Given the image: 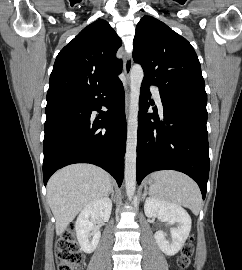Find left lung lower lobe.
<instances>
[{"label":"left lung lower lobe","mask_w":242,"mask_h":270,"mask_svg":"<svg viewBox=\"0 0 242 270\" xmlns=\"http://www.w3.org/2000/svg\"><path fill=\"white\" fill-rule=\"evenodd\" d=\"M149 85L154 84L142 81L139 100L137 183L140 184L153 171L177 170L197 182L204 199L210 167L206 128L207 101L171 100L160 92L164 114L161 121L157 108H154V113L146 114L151 96ZM151 118L154 122H151Z\"/></svg>","instance_id":"left-lung-lower-lobe-1"}]
</instances>
